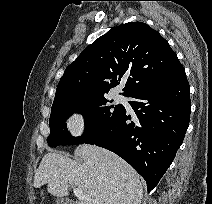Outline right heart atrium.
I'll use <instances>...</instances> for the list:
<instances>
[{"mask_svg":"<svg viewBox=\"0 0 212 204\" xmlns=\"http://www.w3.org/2000/svg\"><path fill=\"white\" fill-rule=\"evenodd\" d=\"M66 127L73 138H82L89 128V115L82 110H75L66 119Z\"/></svg>","mask_w":212,"mask_h":204,"instance_id":"right-heart-atrium-1","label":"right heart atrium"}]
</instances>
